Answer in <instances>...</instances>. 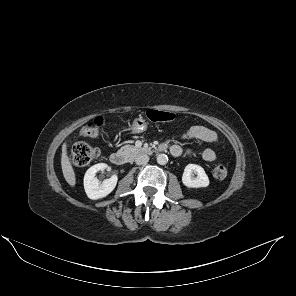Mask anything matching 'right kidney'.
<instances>
[{
    "instance_id": "right-kidney-1",
    "label": "right kidney",
    "mask_w": 296,
    "mask_h": 296,
    "mask_svg": "<svg viewBox=\"0 0 296 296\" xmlns=\"http://www.w3.org/2000/svg\"><path fill=\"white\" fill-rule=\"evenodd\" d=\"M108 165L105 163H98L90 167L84 176V189L88 198L97 200L106 197L110 194L117 185V175H112L109 179L104 180L101 184L95 177L100 170H105Z\"/></svg>"
}]
</instances>
